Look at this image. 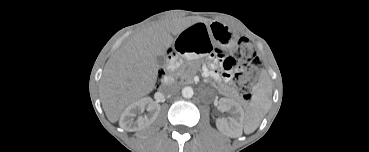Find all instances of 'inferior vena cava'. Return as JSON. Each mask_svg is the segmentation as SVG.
<instances>
[{
    "label": "inferior vena cava",
    "mask_w": 369,
    "mask_h": 152,
    "mask_svg": "<svg viewBox=\"0 0 369 152\" xmlns=\"http://www.w3.org/2000/svg\"><path fill=\"white\" fill-rule=\"evenodd\" d=\"M162 91L165 94H174L178 91V85L174 82L168 83L166 85L164 84L163 87H162Z\"/></svg>",
    "instance_id": "1"
}]
</instances>
